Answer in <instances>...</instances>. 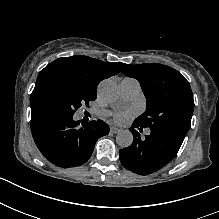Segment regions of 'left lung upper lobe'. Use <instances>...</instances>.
<instances>
[{
	"label": "left lung upper lobe",
	"mask_w": 219,
	"mask_h": 219,
	"mask_svg": "<svg viewBox=\"0 0 219 219\" xmlns=\"http://www.w3.org/2000/svg\"><path fill=\"white\" fill-rule=\"evenodd\" d=\"M122 72L140 82L146 97V111L135 122L184 139L194 110L192 90L185 77L169 66L155 63L125 64Z\"/></svg>",
	"instance_id": "1"
}]
</instances>
